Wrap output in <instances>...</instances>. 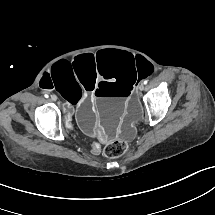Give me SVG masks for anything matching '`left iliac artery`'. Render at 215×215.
I'll return each instance as SVG.
<instances>
[{"instance_id": "obj_1", "label": "left iliac artery", "mask_w": 215, "mask_h": 215, "mask_svg": "<svg viewBox=\"0 0 215 215\" xmlns=\"http://www.w3.org/2000/svg\"><path fill=\"white\" fill-rule=\"evenodd\" d=\"M147 82H148L147 80H144V81H143V84H147Z\"/></svg>"}]
</instances>
